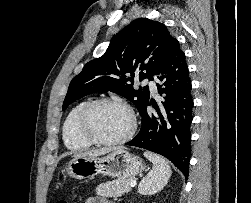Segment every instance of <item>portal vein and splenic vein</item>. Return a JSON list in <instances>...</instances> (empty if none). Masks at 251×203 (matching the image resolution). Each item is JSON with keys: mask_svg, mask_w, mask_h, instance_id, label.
<instances>
[{"mask_svg": "<svg viewBox=\"0 0 251 203\" xmlns=\"http://www.w3.org/2000/svg\"><path fill=\"white\" fill-rule=\"evenodd\" d=\"M136 180H132L131 183H130V187H135L136 186Z\"/></svg>", "mask_w": 251, "mask_h": 203, "instance_id": "obj_1", "label": "portal vein and splenic vein"}]
</instances>
